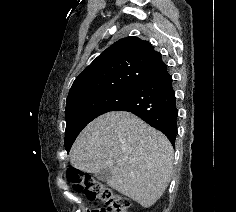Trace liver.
<instances>
[{
    "instance_id": "6515ba94",
    "label": "liver",
    "mask_w": 236,
    "mask_h": 212,
    "mask_svg": "<svg viewBox=\"0 0 236 212\" xmlns=\"http://www.w3.org/2000/svg\"><path fill=\"white\" fill-rule=\"evenodd\" d=\"M174 151L160 131L129 112H108L89 123L75 140L73 167L88 173L111 170L108 185L148 208L163 195Z\"/></svg>"
}]
</instances>
